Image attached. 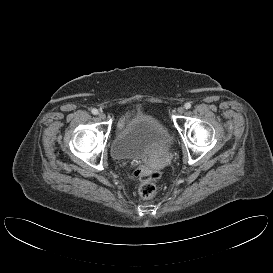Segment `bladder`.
Instances as JSON below:
<instances>
[{"label": "bladder", "mask_w": 273, "mask_h": 273, "mask_svg": "<svg viewBox=\"0 0 273 273\" xmlns=\"http://www.w3.org/2000/svg\"><path fill=\"white\" fill-rule=\"evenodd\" d=\"M173 143V137L156 117L139 112L113 137L110 151L116 160L148 157L157 146Z\"/></svg>", "instance_id": "31cf9c89"}]
</instances>
